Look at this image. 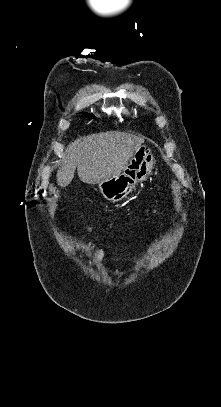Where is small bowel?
Here are the masks:
<instances>
[{"label": "small bowel", "instance_id": "small-bowel-1", "mask_svg": "<svg viewBox=\"0 0 221 407\" xmlns=\"http://www.w3.org/2000/svg\"><path fill=\"white\" fill-rule=\"evenodd\" d=\"M87 251L90 254L93 253L98 260L103 259V255H104V248L103 247L95 248V246L92 243H90L88 245Z\"/></svg>", "mask_w": 221, "mask_h": 407}]
</instances>
